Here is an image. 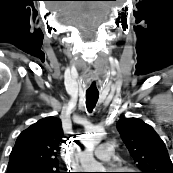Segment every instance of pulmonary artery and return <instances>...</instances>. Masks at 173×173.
Instances as JSON below:
<instances>
[{"label":"pulmonary artery","instance_id":"pulmonary-artery-1","mask_svg":"<svg viewBox=\"0 0 173 173\" xmlns=\"http://www.w3.org/2000/svg\"><path fill=\"white\" fill-rule=\"evenodd\" d=\"M113 154V145L109 142L100 144L94 151L96 159L102 162H108L111 160Z\"/></svg>","mask_w":173,"mask_h":173}]
</instances>
